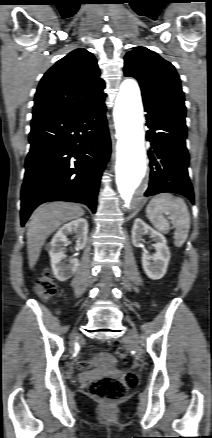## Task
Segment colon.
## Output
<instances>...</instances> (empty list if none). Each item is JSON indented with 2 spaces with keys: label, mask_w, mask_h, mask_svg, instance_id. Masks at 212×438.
<instances>
[{
  "label": "colon",
  "mask_w": 212,
  "mask_h": 438,
  "mask_svg": "<svg viewBox=\"0 0 212 438\" xmlns=\"http://www.w3.org/2000/svg\"><path fill=\"white\" fill-rule=\"evenodd\" d=\"M34 290L36 294L44 300L49 299L56 293L57 284L51 270H45L37 279ZM111 347L117 357L123 361H127L128 351L123 344L118 341H113ZM78 365L83 367L85 363L79 362ZM137 383L138 376L136 373L129 371L122 378L104 376L93 381L89 386V392L94 398L108 404L122 399L128 389L135 387Z\"/></svg>",
  "instance_id": "5ec220e1"
}]
</instances>
